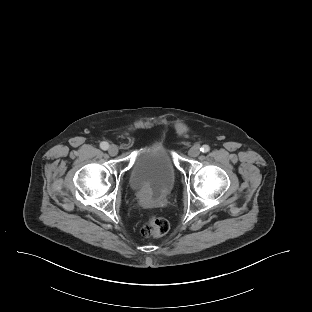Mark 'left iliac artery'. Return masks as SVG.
I'll use <instances>...</instances> for the list:
<instances>
[{"instance_id":"1","label":"left iliac artery","mask_w":312,"mask_h":312,"mask_svg":"<svg viewBox=\"0 0 312 312\" xmlns=\"http://www.w3.org/2000/svg\"><path fill=\"white\" fill-rule=\"evenodd\" d=\"M209 150H210V147L208 145H203L200 148V151L203 152V153H207V152H209Z\"/></svg>"}]
</instances>
